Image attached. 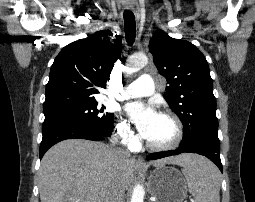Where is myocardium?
<instances>
[{"label": "myocardium", "instance_id": "obj_1", "mask_svg": "<svg viewBox=\"0 0 255 202\" xmlns=\"http://www.w3.org/2000/svg\"><path fill=\"white\" fill-rule=\"evenodd\" d=\"M159 115L164 116L171 120V122L174 125L175 128V135L174 138L168 142V143H163V144H156L148 141L145 137H143V141L146 145L147 148L153 150V151H168L175 149L180 145V143L183 140L184 137V127L183 124L180 120V118L173 112L171 111H162L159 113Z\"/></svg>", "mask_w": 255, "mask_h": 202}]
</instances>
